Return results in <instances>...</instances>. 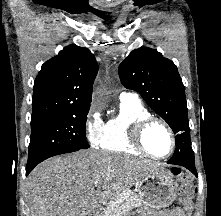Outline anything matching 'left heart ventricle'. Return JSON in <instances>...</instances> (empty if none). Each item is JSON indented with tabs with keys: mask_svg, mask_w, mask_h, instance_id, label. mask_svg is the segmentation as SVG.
Masks as SVG:
<instances>
[{
	"mask_svg": "<svg viewBox=\"0 0 221 216\" xmlns=\"http://www.w3.org/2000/svg\"><path fill=\"white\" fill-rule=\"evenodd\" d=\"M146 147L154 154L163 156L170 151L171 140L165 128L159 124L150 126L145 134Z\"/></svg>",
	"mask_w": 221,
	"mask_h": 216,
	"instance_id": "1",
	"label": "left heart ventricle"
}]
</instances>
